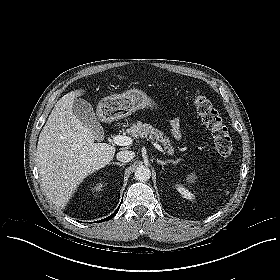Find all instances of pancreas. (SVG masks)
Returning a JSON list of instances; mask_svg holds the SVG:
<instances>
[{
    "label": "pancreas",
    "instance_id": "pancreas-1",
    "mask_svg": "<svg viewBox=\"0 0 280 280\" xmlns=\"http://www.w3.org/2000/svg\"><path fill=\"white\" fill-rule=\"evenodd\" d=\"M130 134L134 138H147L160 142L169 154L174 153L169 138L164 136L163 132L154 128L152 125L138 121L129 129Z\"/></svg>",
    "mask_w": 280,
    "mask_h": 280
}]
</instances>
